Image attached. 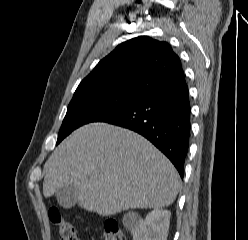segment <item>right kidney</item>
Instances as JSON below:
<instances>
[{
  "mask_svg": "<svg viewBox=\"0 0 248 240\" xmlns=\"http://www.w3.org/2000/svg\"><path fill=\"white\" fill-rule=\"evenodd\" d=\"M171 212L154 209L131 227L133 240H167Z\"/></svg>",
  "mask_w": 248,
  "mask_h": 240,
  "instance_id": "right-kidney-1",
  "label": "right kidney"
}]
</instances>
